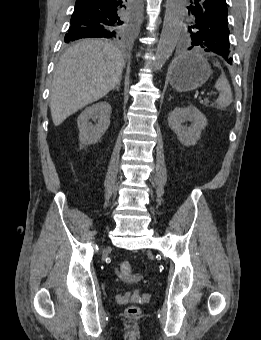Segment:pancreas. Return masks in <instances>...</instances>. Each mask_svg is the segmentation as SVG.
<instances>
[{"label": "pancreas", "instance_id": "obj_1", "mask_svg": "<svg viewBox=\"0 0 261 340\" xmlns=\"http://www.w3.org/2000/svg\"><path fill=\"white\" fill-rule=\"evenodd\" d=\"M206 106L209 104V101H205V103H204Z\"/></svg>", "mask_w": 261, "mask_h": 340}]
</instances>
